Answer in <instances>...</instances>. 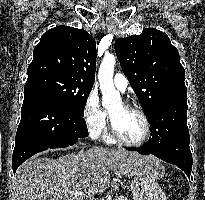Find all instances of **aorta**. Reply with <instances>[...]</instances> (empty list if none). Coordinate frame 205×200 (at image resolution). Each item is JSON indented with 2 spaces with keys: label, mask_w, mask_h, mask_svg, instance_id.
<instances>
[{
  "label": "aorta",
  "mask_w": 205,
  "mask_h": 200,
  "mask_svg": "<svg viewBox=\"0 0 205 200\" xmlns=\"http://www.w3.org/2000/svg\"><path fill=\"white\" fill-rule=\"evenodd\" d=\"M116 59L112 54H105L99 68V83L102 92V105L109 109L121 103L120 94L115 90L113 84V71Z\"/></svg>",
  "instance_id": "1"
}]
</instances>
